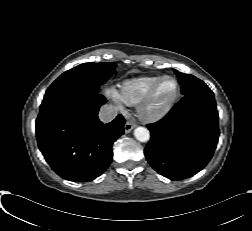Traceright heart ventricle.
Returning <instances> with one entry per match:
<instances>
[{
	"instance_id": "right-heart-ventricle-1",
	"label": "right heart ventricle",
	"mask_w": 252,
	"mask_h": 231,
	"mask_svg": "<svg viewBox=\"0 0 252 231\" xmlns=\"http://www.w3.org/2000/svg\"><path fill=\"white\" fill-rule=\"evenodd\" d=\"M160 77L149 75L126 79L118 85L117 98L127 105H137Z\"/></svg>"
}]
</instances>
